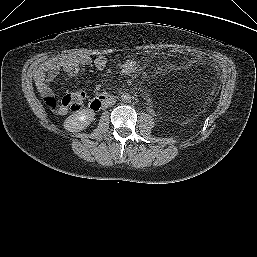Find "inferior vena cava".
I'll return each instance as SVG.
<instances>
[{"label":"inferior vena cava","mask_w":257,"mask_h":257,"mask_svg":"<svg viewBox=\"0 0 257 257\" xmlns=\"http://www.w3.org/2000/svg\"><path fill=\"white\" fill-rule=\"evenodd\" d=\"M114 103H115V100H111L108 105L111 106V105H113Z\"/></svg>","instance_id":"inferior-vena-cava-1"}]
</instances>
